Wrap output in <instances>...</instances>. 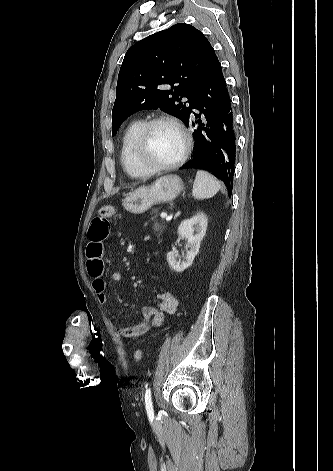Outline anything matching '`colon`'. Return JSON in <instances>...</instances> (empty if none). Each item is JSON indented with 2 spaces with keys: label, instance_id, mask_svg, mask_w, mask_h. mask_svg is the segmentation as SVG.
Instances as JSON below:
<instances>
[{
  "label": "colon",
  "instance_id": "colon-1",
  "mask_svg": "<svg viewBox=\"0 0 333 471\" xmlns=\"http://www.w3.org/2000/svg\"><path fill=\"white\" fill-rule=\"evenodd\" d=\"M99 214L104 216V217H112L115 214V208L113 206H110V205L102 206L99 209ZM142 356H143L142 350H140V349L135 350L134 358L136 360H140L142 358Z\"/></svg>",
  "mask_w": 333,
  "mask_h": 471
}]
</instances>
